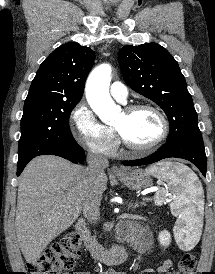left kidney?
I'll use <instances>...</instances> for the list:
<instances>
[{
  "mask_svg": "<svg viewBox=\"0 0 215 274\" xmlns=\"http://www.w3.org/2000/svg\"><path fill=\"white\" fill-rule=\"evenodd\" d=\"M158 240L162 246L167 247L170 244L171 235L167 230L161 231L158 235Z\"/></svg>",
  "mask_w": 215,
  "mask_h": 274,
  "instance_id": "left-kidney-1",
  "label": "left kidney"
}]
</instances>
